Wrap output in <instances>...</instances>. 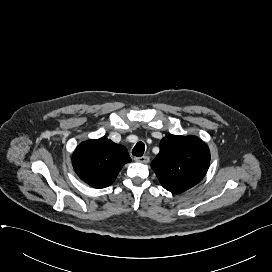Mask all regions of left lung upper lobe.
<instances>
[{"mask_svg": "<svg viewBox=\"0 0 272 272\" xmlns=\"http://www.w3.org/2000/svg\"><path fill=\"white\" fill-rule=\"evenodd\" d=\"M209 164L210 151L201 139L167 135L151 167L166 190L179 194L200 182Z\"/></svg>", "mask_w": 272, "mask_h": 272, "instance_id": "1", "label": "left lung upper lobe"}]
</instances>
